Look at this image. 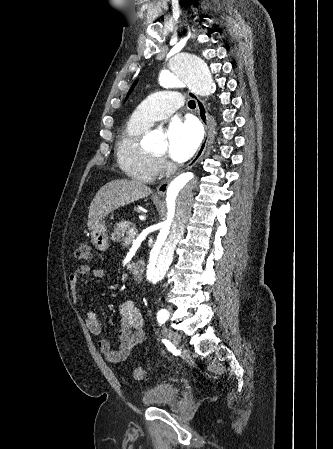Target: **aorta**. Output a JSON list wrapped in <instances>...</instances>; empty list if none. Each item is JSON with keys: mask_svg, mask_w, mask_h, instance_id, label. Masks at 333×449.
<instances>
[{"mask_svg": "<svg viewBox=\"0 0 333 449\" xmlns=\"http://www.w3.org/2000/svg\"><path fill=\"white\" fill-rule=\"evenodd\" d=\"M159 81L165 87H189L201 96L215 91L208 65L192 54L170 57L161 68ZM150 146L166 148V143L156 135L148 136ZM200 185V176L183 173L175 177L167 189L168 214L162 223L147 265V279L156 283L162 280L172 262L175 247L181 239L191 215L193 198Z\"/></svg>", "mask_w": 333, "mask_h": 449, "instance_id": "762f6f07", "label": "aorta"}]
</instances>
